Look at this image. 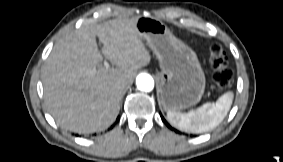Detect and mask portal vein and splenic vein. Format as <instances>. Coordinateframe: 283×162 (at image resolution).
<instances>
[{
    "mask_svg": "<svg viewBox=\"0 0 283 162\" xmlns=\"http://www.w3.org/2000/svg\"><path fill=\"white\" fill-rule=\"evenodd\" d=\"M104 67H106V68L109 67V63L107 61H104Z\"/></svg>",
    "mask_w": 283,
    "mask_h": 162,
    "instance_id": "18ae733b",
    "label": "portal vein and splenic vein"
}]
</instances>
